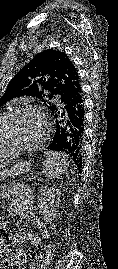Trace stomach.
<instances>
[{
    "instance_id": "obj_1",
    "label": "stomach",
    "mask_w": 118,
    "mask_h": 269,
    "mask_svg": "<svg viewBox=\"0 0 118 269\" xmlns=\"http://www.w3.org/2000/svg\"><path fill=\"white\" fill-rule=\"evenodd\" d=\"M31 170V162L28 161H21L11 167L9 170H3L0 171V181L1 180H7L8 178L17 176V175H23L28 173ZM2 192H6V188L2 189ZM1 194V192H0Z\"/></svg>"
}]
</instances>
